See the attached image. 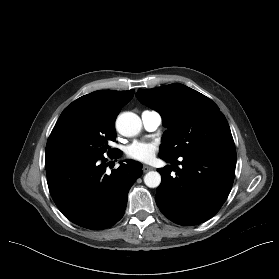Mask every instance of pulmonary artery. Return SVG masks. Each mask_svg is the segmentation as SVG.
I'll list each match as a JSON object with an SVG mask.
<instances>
[{
  "label": "pulmonary artery",
  "instance_id": "1",
  "mask_svg": "<svg viewBox=\"0 0 279 279\" xmlns=\"http://www.w3.org/2000/svg\"><path fill=\"white\" fill-rule=\"evenodd\" d=\"M143 126L148 131L156 130L162 122L161 115L156 111H144L141 115Z\"/></svg>",
  "mask_w": 279,
  "mask_h": 279
}]
</instances>
